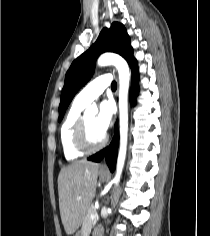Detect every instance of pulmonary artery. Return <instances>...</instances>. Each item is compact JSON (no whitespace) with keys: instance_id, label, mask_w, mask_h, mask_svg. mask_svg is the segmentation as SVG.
<instances>
[{"instance_id":"pulmonary-artery-1","label":"pulmonary artery","mask_w":210,"mask_h":236,"mask_svg":"<svg viewBox=\"0 0 210 236\" xmlns=\"http://www.w3.org/2000/svg\"><path fill=\"white\" fill-rule=\"evenodd\" d=\"M111 82L112 77L110 75L100 76L85 86L77 94L75 100L78 103L87 106L95 98H97L105 90V88L111 84Z\"/></svg>"}]
</instances>
